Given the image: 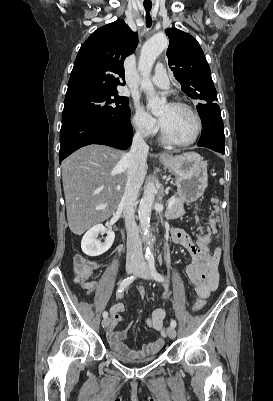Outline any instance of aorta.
I'll return each instance as SVG.
<instances>
[{"label": "aorta", "instance_id": "aorta-1", "mask_svg": "<svg viewBox=\"0 0 273 401\" xmlns=\"http://www.w3.org/2000/svg\"><path fill=\"white\" fill-rule=\"evenodd\" d=\"M167 46L168 39L164 34L154 35L143 45L138 63V68L142 75L141 88L148 97L147 107L154 115H157L162 110L166 101L155 94L153 84L149 80V77L156 58ZM155 192L156 187L154 180H150L146 184L144 196L140 201L138 210L140 225L147 240L148 247L146 250V256L148 258H153L149 230L151 209L155 199Z\"/></svg>", "mask_w": 273, "mask_h": 401}]
</instances>
